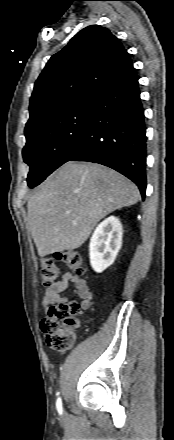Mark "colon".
I'll return each instance as SVG.
<instances>
[{
  "mask_svg": "<svg viewBox=\"0 0 174 440\" xmlns=\"http://www.w3.org/2000/svg\"><path fill=\"white\" fill-rule=\"evenodd\" d=\"M56 261H63L76 275L85 272L82 257L77 251H59L41 259V278L45 286L57 281ZM80 306L77 302L52 306L41 322V330L46 344L57 351L69 349L75 341L76 316Z\"/></svg>",
  "mask_w": 174,
  "mask_h": 440,
  "instance_id": "5ec220e1",
  "label": "colon"
}]
</instances>
